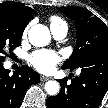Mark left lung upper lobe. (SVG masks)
Wrapping results in <instances>:
<instances>
[{
    "label": "left lung upper lobe",
    "instance_id": "5c2ea615",
    "mask_svg": "<svg viewBox=\"0 0 108 108\" xmlns=\"http://www.w3.org/2000/svg\"><path fill=\"white\" fill-rule=\"evenodd\" d=\"M59 11L75 20L77 27L74 51L62 68L99 66L108 60V27L105 23L84 8L64 7Z\"/></svg>",
    "mask_w": 108,
    "mask_h": 108
}]
</instances>
